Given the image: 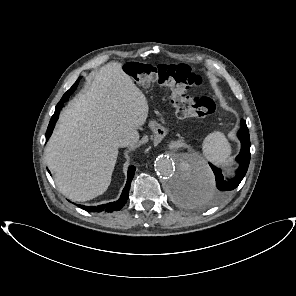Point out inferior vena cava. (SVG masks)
I'll return each mask as SVG.
<instances>
[{"instance_id": "602c4592", "label": "inferior vena cava", "mask_w": 296, "mask_h": 296, "mask_svg": "<svg viewBox=\"0 0 296 296\" xmlns=\"http://www.w3.org/2000/svg\"><path fill=\"white\" fill-rule=\"evenodd\" d=\"M119 147H126L128 145H133L134 140L130 136H124L117 141Z\"/></svg>"}]
</instances>
